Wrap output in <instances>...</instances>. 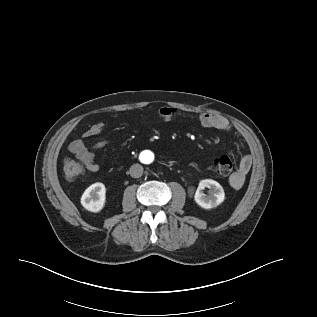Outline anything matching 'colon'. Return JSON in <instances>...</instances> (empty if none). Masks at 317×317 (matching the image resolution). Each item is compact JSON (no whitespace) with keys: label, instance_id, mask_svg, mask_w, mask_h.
Wrapping results in <instances>:
<instances>
[{"label":"colon","instance_id":"colon-1","mask_svg":"<svg viewBox=\"0 0 317 317\" xmlns=\"http://www.w3.org/2000/svg\"><path fill=\"white\" fill-rule=\"evenodd\" d=\"M212 168L216 175L227 176L233 171L234 162L229 156L223 155L214 159L212 163ZM83 172H84V168L79 162L71 158L64 159L63 173L66 179L75 180L79 176H81Z\"/></svg>","mask_w":317,"mask_h":317}]
</instances>
